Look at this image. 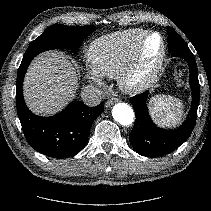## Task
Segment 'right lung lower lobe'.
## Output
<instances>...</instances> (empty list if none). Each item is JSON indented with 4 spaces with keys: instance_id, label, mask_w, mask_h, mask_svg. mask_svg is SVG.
Instances as JSON below:
<instances>
[{
    "instance_id": "right-lung-lower-lobe-1",
    "label": "right lung lower lobe",
    "mask_w": 211,
    "mask_h": 211,
    "mask_svg": "<svg viewBox=\"0 0 211 211\" xmlns=\"http://www.w3.org/2000/svg\"><path fill=\"white\" fill-rule=\"evenodd\" d=\"M31 60H22L16 82L17 112L26 140L33 149L48 157L74 156L86 146L92 123L104 110L103 103L88 107L73 101L57 115H34L27 108L22 92L24 76Z\"/></svg>"
}]
</instances>
